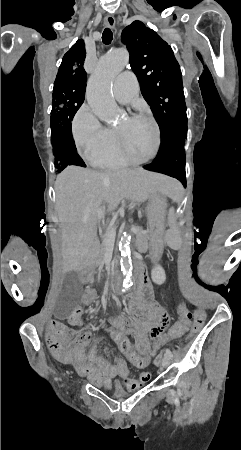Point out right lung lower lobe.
Returning a JSON list of instances; mask_svg holds the SVG:
<instances>
[{"mask_svg": "<svg viewBox=\"0 0 241 450\" xmlns=\"http://www.w3.org/2000/svg\"><path fill=\"white\" fill-rule=\"evenodd\" d=\"M65 156L67 158V161L69 162V165H77L86 167L84 161L80 158V156L77 154L76 147L73 144L65 149Z\"/></svg>", "mask_w": 241, "mask_h": 450, "instance_id": "1", "label": "right lung lower lobe"}]
</instances>
